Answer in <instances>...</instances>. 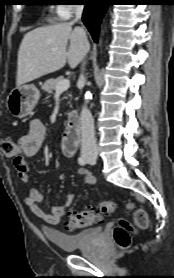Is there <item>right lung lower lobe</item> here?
Masks as SVG:
<instances>
[{"instance_id": "right-lung-lower-lobe-1", "label": "right lung lower lobe", "mask_w": 174, "mask_h": 278, "mask_svg": "<svg viewBox=\"0 0 174 278\" xmlns=\"http://www.w3.org/2000/svg\"><path fill=\"white\" fill-rule=\"evenodd\" d=\"M85 5L83 22L92 34L95 42L98 40V31L104 12L110 5V0H83Z\"/></svg>"}]
</instances>
